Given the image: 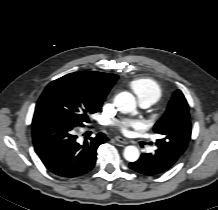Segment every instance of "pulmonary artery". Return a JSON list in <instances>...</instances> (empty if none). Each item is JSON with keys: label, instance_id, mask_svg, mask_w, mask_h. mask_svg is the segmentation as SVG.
Segmentation results:
<instances>
[{"label": "pulmonary artery", "instance_id": "pulmonary-artery-1", "mask_svg": "<svg viewBox=\"0 0 218 210\" xmlns=\"http://www.w3.org/2000/svg\"><path fill=\"white\" fill-rule=\"evenodd\" d=\"M140 105L143 107V108H147L150 106V104L148 102H141Z\"/></svg>", "mask_w": 218, "mask_h": 210}]
</instances>
